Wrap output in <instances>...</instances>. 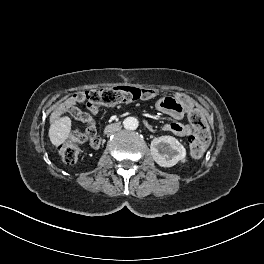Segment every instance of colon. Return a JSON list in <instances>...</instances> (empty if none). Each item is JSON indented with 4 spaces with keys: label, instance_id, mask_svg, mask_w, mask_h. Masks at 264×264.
I'll list each match as a JSON object with an SVG mask.
<instances>
[{
    "label": "colon",
    "instance_id": "obj_1",
    "mask_svg": "<svg viewBox=\"0 0 264 264\" xmlns=\"http://www.w3.org/2000/svg\"><path fill=\"white\" fill-rule=\"evenodd\" d=\"M142 96V91L132 87H105L78 92L70 96L67 103L76 105L86 103L88 107L106 106L112 107L118 104L131 103ZM189 123L194 128L189 138L191 154L198 158L203 155L210 143V132L202 112L192 108L188 113ZM89 140L88 132L75 130L71 137L59 145L58 150L67 164H75L80 155V145Z\"/></svg>",
    "mask_w": 264,
    "mask_h": 264
}]
</instances>
